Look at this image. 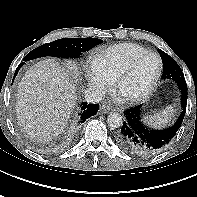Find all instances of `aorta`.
I'll list each match as a JSON object with an SVG mask.
<instances>
[{
    "label": "aorta",
    "instance_id": "obj_1",
    "mask_svg": "<svg viewBox=\"0 0 197 197\" xmlns=\"http://www.w3.org/2000/svg\"><path fill=\"white\" fill-rule=\"evenodd\" d=\"M108 125L111 128H120L123 124L122 116L119 113H110L107 118Z\"/></svg>",
    "mask_w": 197,
    "mask_h": 197
}]
</instances>
